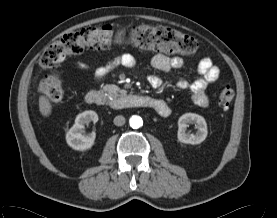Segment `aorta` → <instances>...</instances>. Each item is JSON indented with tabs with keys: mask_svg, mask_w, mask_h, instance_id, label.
Returning <instances> with one entry per match:
<instances>
[{
	"mask_svg": "<svg viewBox=\"0 0 277 218\" xmlns=\"http://www.w3.org/2000/svg\"><path fill=\"white\" fill-rule=\"evenodd\" d=\"M129 124L133 129H137V128H140L143 125V120L140 116L133 115L129 119Z\"/></svg>",
	"mask_w": 277,
	"mask_h": 218,
	"instance_id": "1",
	"label": "aorta"
}]
</instances>
